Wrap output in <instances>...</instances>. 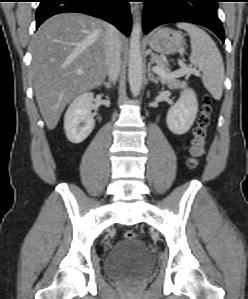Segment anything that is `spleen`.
I'll return each instance as SVG.
<instances>
[{
  "instance_id": "3e777b00",
  "label": "spleen",
  "mask_w": 248,
  "mask_h": 299,
  "mask_svg": "<svg viewBox=\"0 0 248 299\" xmlns=\"http://www.w3.org/2000/svg\"><path fill=\"white\" fill-rule=\"evenodd\" d=\"M176 26L189 33L191 41V63L203 73L202 82L214 99L222 97L224 64L213 39L201 28L191 23H177Z\"/></svg>"
}]
</instances>
